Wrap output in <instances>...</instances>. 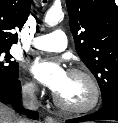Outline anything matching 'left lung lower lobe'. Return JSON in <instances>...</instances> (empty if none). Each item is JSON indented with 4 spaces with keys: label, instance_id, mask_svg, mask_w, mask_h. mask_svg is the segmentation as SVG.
<instances>
[{
    "label": "left lung lower lobe",
    "instance_id": "1",
    "mask_svg": "<svg viewBox=\"0 0 118 123\" xmlns=\"http://www.w3.org/2000/svg\"><path fill=\"white\" fill-rule=\"evenodd\" d=\"M92 120H117L118 121V95L103 104L97 112L79 118L69 119L66 123H78Z\"/></svg>",
    "mask_w": 118,
    "mask_h": 123
}]
</instances>
